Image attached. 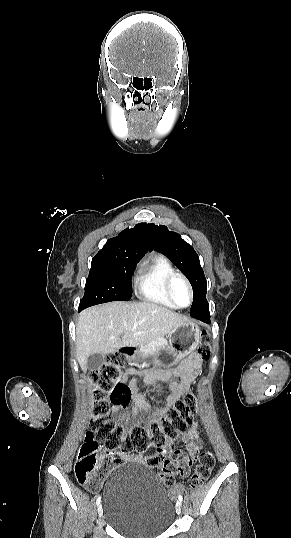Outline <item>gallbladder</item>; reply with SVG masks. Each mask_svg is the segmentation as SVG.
<instances>
[{
  "label": "gallbladder",
  "mask_w": 291,
  "mask_h": 538,
  "mask_svg": "<svg viewBox=\"0 0 291 538\" xmlns=\"http://www.w3.org/2000/svg\"><path fill=\"white\" fill-rule=\"evenodd\" d=\"M104 363V356L102 354L96 353L92 354L87 359V368L90 371H97L101 368Z\"/></svg>",
  "instance_id": "bac80fb5"
}]
</instances>
